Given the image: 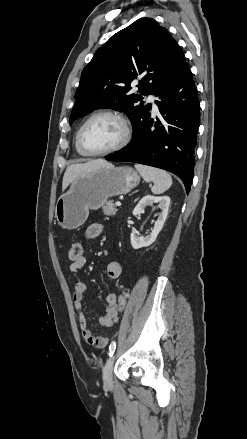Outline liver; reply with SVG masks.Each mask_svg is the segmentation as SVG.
Segmentation results:
<instances>
[{
	"label": "liver",
	"mask_w": 247,
	"mask_h": 439,
	"mask_svg": "<svg viewBox=\"0 0 247 439\" xmlns=\"http://www.w3.org/2000/svg\"><path fill=\"white\" fill-rule=\"evenodd\" d=\"M111 165V163L104 159H95L86 163L72 164L68 166L63 176L62 190L64 191L77 177Z\"/></svg>",
	"instance_id": "1"
}]
</instances>
